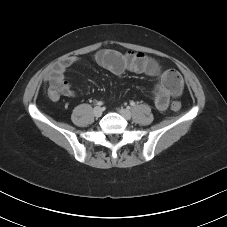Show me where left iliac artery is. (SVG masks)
<instances>
[{
  "instance_id": "1",
  "label": "left iliac artery",
  "mask_w": 227,
  "mask_h": 227,
  "mask_svg": "<svg viewBox=\"0 0 227 227\" xmlns=\"http://www.w3.org/2000/svg\"><path fill=\"white\" fill-rule=\"evenodd\" d=\"M130 105H131V106H134V105H135V102H134V101H131V102H130Z\"/></svg>"
}]
</instances>
